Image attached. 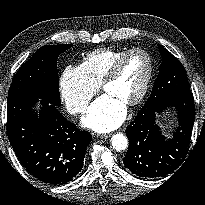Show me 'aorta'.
Here are the masks:
<instances>
[{
  "label": "aorta",
  "mask_w": 205,
  "mask_h": 205,
  "mask_svg": "<svg viewBox=\"0 0 205 205\" xmlns=\"http://www.w3.org/2000/svg\"><path fill=\"white\" fill-rule=\"evenodd\" d=\"M111 144L116 151H124L128 147V140L123 134H114L111 138Z\"/></svg>",
  "instance_id": "obj_1"
}]
</instances>
